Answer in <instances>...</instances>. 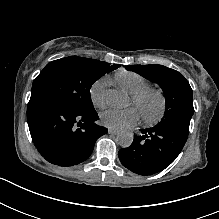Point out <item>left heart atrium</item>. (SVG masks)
I'll list each match as a JSON object with an SVG mask.
<instances>
[{
    "label": "left heart atrium",
    "instance_id": "obj_1",
    "mask_svg": "<svg viewBox=\"0 0 219 219\" xmlns=\"http://www.w3.org/2000/svg\"><path fill=\"white\" fill-rule=\"evenodd\" d=\"M140 116L135 106L126 109L111 108L101 113V121L106 127L120 130L136 123Z\"/></svg>",
    "mask_w": 219,
    "mask_h": 219
}]
</instances>
